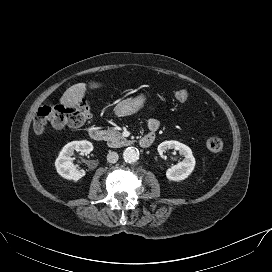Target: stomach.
<instances>
[{"label":"stomach","instance_id":"1","mask_svg":"<svg viewBox=\"0 0 272 272\" xmlns=\"http://www.w3.org/2000/svg\"><path fill=\"white\" fill-rule=\"evenodd\" d=\"M148 97L146 93H141L136 97L120 101L115 107V114L119 117H124L137 113L143 108Z\"/></svg>","mask_w":272,"mask_h":272}]
</instances>
